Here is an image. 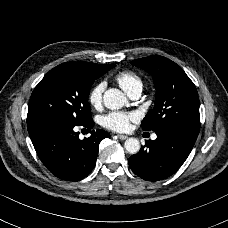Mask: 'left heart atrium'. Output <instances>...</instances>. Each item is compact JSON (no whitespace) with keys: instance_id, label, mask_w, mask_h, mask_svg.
Returning <instances> with one entry per match:
<instances>
[{"instance_id":"obj_1","label":"left heart atrium","mask_w":228,"mask_h":228,"mask_svg":"<svg viewBox=\"0 0 228 228\" xmlns=\"http://www.w3.org/2000/svg\"><path fill=\"white\" fill-rule=\"evenodd\" d=\"M133 120H135L133 113L113 111L103 117L102 124L112 131L125 132L129 129L130 122Z\"/></svg>"}]
</instances>
